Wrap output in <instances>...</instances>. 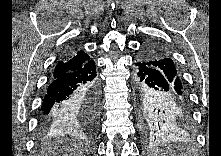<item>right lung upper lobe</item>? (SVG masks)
Instances as JSON below:
<instances>
[{
    "instance_id": "right-lung-upper-lobe-1",
    "label": "right lung upper lobe",
    "mask_w": 221,
    "mask_h": 156,
    "mask_svg": "<svg viewBox=\"0 0 221 156\" xmlns=\"http://www.w3.org/2000/svg\"><path fill=\"white\" fill-rule=\"evenodd\" d=\"M89 61V56L83 51H78L76 54L68 55L57 63L53 77L64 74L66 72L75 71Z\"/></svg>"
}]
</instances>
